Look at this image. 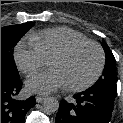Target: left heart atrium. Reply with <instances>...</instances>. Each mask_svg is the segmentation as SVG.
Returning a JSON list of instances; mask_svg holds the SVG:
<instances>
[{"label": "left heart atrium", "instance_id": "left-heart-atrium-1", "mask_svg": "<svg viewBox=\"0 0 123 123\" xmlns=\"http://www.w3.org/2000/svg\"><path fill=\"white\" fill-rule=\"evenodd\" d=\"M26 86L31 92L48 94L65 87L66 82L58 70L51 68L30 76L26 81Z\"/></svg>", "mask_w": 123, "mask_h": 123}]
</instances>
